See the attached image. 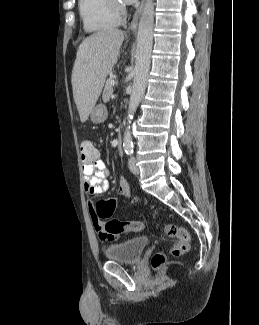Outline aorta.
I'll use <instances>...</instances> for the list:
<instances>
[{"label":"aorta","mask_w":259,"mask_h":325,"mask_svg":"<svg viewBox=\"0 0 259 325\" xmlns=\"http://www.w3.org/2000/svg\"><path fill=\"white\" fill-rule=\"evenodd\" d=\"M154 27V2L146 0L137 32L136 63L134 67V81L128 107V126L124 133V145L132 147L131 120L144 95L151 63Z\"/></svg>","instance_id":"1"}]
</instances>
